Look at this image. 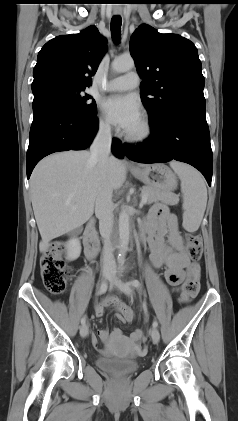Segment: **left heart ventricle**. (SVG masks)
<instances>
[{
	"mask_svg": "<svg viewBox=\"0 0 238 421\" xmlns=\"http://www.w3.org/2000/svg\"><path fill=\"white\" fill-rule=\"evenodd\" d=\"M140 130H141V122L128 132L131 134H137L140 132Z\"/></svg>",
	"mask_w": 238,
	"mask_h": 421,
	"instance_id": "obj_1",
	"label": "left heart ventricle"
}]
</instances>
